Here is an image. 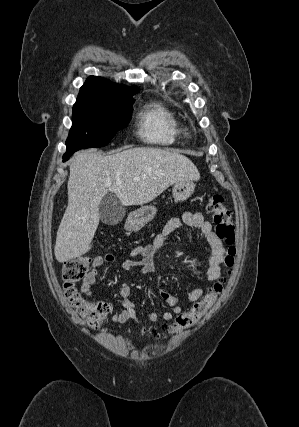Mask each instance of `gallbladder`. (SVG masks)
I'll list each match as a JSON object with an SVG mask.
<instances>
[{
  "mask_svg": "<svg viewBox=\"0 0 299 427\" xmlns=\"http://www.w3.org/2000/svg\"><path fill=\"white\" fill-rule=\"evenodd\" d=\"M125 216V208L117 196L108 192L99 204L100 220L107 225H117Z\"/></svg>",
  "mask_w": 299,
  "mask_h": 427,
  "instance_id": "obj_1",
  "label": "gallbladder"
}]
</instances>
